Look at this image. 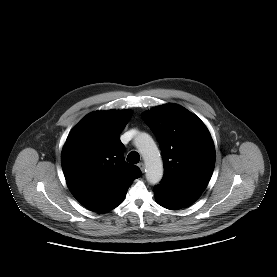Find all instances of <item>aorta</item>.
<instances>
[{"mask_svg": "<svg viewBox=\"0 0 277 277\" xmlns=\"http://www.w3.org/2000/svg\"><path fill=\"white\" fill-rule=\"evenodd\" d=\"M134 142L145 162L147 181L153 185L159 183L163 177V162L154 140L147 133H139Z\"/></svg>", "mask_w": 277, "mask_h": 277, "instance_id": "1", "label": "aorta"}]
</instances>
